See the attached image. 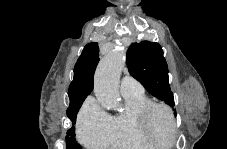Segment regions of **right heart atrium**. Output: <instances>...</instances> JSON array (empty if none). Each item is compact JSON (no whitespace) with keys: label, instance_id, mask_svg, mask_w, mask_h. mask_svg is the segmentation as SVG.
I'll return each mask as SVG.
<instances>
[{"label":"right heart atrium","instance_id":"right-heart-atrium-1","mask_svg":"<svg viewBox=\"0 0 227 149\" xmlns=\"http://www.w3.org/2000/svg\"><path fill=\"white\" fill-rule=\"evenodd\" d=\"M110 116L100 107L95 98H88L78 115L77 130L82 144L90 149L107 145Z\"/></svg>","mask_w":227,"mask_h":149}]
</instances>
